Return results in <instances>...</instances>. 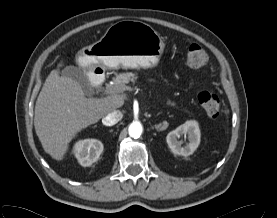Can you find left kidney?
Instances as JSON below:
<instances>
[{
    "mask_svg": "<svg viewBox=\"0 0 277 218\" xmlns=\"http://www.w3.org/2000/svg\"><path fill=\"white\" fill-rule=\"evenodd\" d=\"M183 135H188L189 141L184 146H182V142L178 140ZM166 141L174 154L185 157L192 155L200 144V129L198 122L195 120L186 121L175 130L169 132Z\"/></svg>",
    "mask_w": 277,
    "mask_h": 218,
    "instance_id": "5707ae66",
    "label": "left kidney"
}]
</instances>
